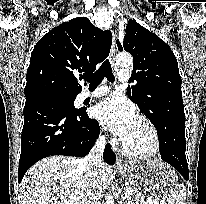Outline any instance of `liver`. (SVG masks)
I'll return each instance as SVG.
<instances>
[{"label": "liver", "mask_w": 206, "mask_h": 204, "mask_svg": "<svg viewBox=\"0 0 206 204\" xmlns=\"http://www.w3.org/2000/svg\"><path fill=\"white\" fill-rule=\"evenodd\" d=\"M132 163V162H130ZM115 178V169L103 164L102 189ZM83 159L51 156L33 165L20 183L21 204H84L88 190Z\"/></svg>", "instance_id": "1"}]
</instances>
